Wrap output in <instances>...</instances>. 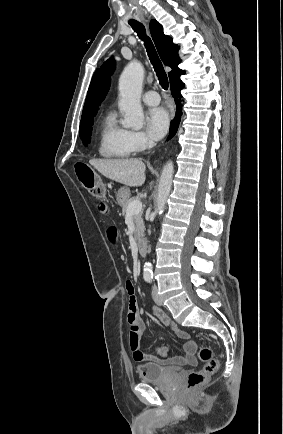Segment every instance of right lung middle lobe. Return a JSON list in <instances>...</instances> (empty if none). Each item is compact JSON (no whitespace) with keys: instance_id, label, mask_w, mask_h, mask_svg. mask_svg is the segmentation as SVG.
<instances>
[{"instance_id":"dd1d6c3e","label":"right lung middle lobe","mask_w":283,"mask_h":434,"mask_svg":"<svg viewBox=\"0 0 283 434\" xmlns=\"http://www.w3.org/2000/svg\"><path fill=\"white\" fill-rule=\"evenodd\" d=\"M92 124H93V121L87 122L84 124H80L79 135H80V138L82 139V142L85 146L90 141Z\"/></svg>"}]
</instances>
